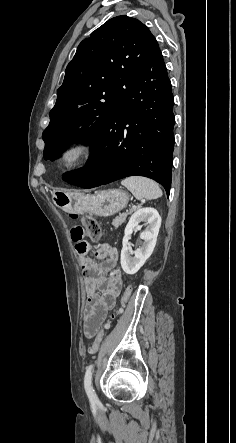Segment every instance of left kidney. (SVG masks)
<instances>
[{
	"mask_svg": "<svg viewBox=\"0 0 236 443\" xmlns=\"http://www.w3.org/2000/svg\"><path fill=\"white\" fill-rule=\"evenodd\" d=\"M140 222L146 223V229L140 234L143 240L141 247L134 252V257L129 254V239L134 229ZM161 226V217L154 208L138 209L129 219L124 231L121 250V267L126 274H135L151 256L157 241V236Z\"/></svg>",
	"mask_w": 236,
	"mask_h": 443,
	"instance_id": "5707ae66",
	"label": "left kidney"
}]
</instances>
